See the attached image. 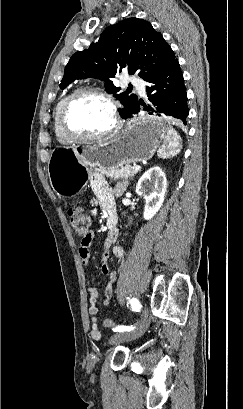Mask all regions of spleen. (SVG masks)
I'll use <instances>...</instances> for the list:
<instances>
[{
	"instance_id": "obj_1",
	"label": "spleen",
	"mask_w": 243,
	"mask_h": 409,
	"mask_svg": "<svg viewBox=\"0 0 243 409\" xmlns=\"http://www.w3.org/2000/svg\"><path fill=\"white\" fill-rule=\"evenodd\" d=\"M181 151V138L178 133L170 125L166 126V134L164 136V143L158 149L157 155L160 158L173 157Z\"/></svg>"
}]
</instances>
